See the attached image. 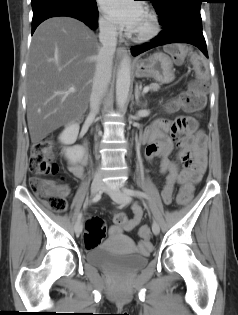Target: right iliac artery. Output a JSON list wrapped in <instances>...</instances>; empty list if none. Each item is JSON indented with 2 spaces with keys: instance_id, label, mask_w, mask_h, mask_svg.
<instances>
[{
  "instance_id": "1",
  "label": "right iliac artery",
  "mask_w": 238,
  "mask_h": 315,
  "mask_svg": "<svg viewBox=\"0 0 238 315\" xmlns=\"http://www.w3.org/2000/svg\"><path fill=\"white\" fill-rule=\"evenodd\" d=\"M101 198V195L100 194H97L93 197V199L91 200V202H97L99 201ZM82 219V213H79L78 214V217H77V222H79L80 220Z\"/></svg>"
}]
</instances>
